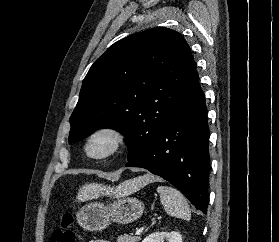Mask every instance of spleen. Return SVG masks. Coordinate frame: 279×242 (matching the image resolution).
<instances>
[{"label": "spleen", "instance_id": "spleen-1", "mask_svg": "<svg viewBox=\"0 0 279 242\" xmlns=\"http://www.w3.org/2000/svg\"><path fill=\"white\" fill-rule=\"evenodd\" d=\"M157 192L160 194V201L167 214L184 220L191 217L190 208L183 194L169 186H158Z\"/></svg>", "mask_w": 279, "mask_h": 242}]
</instances>
